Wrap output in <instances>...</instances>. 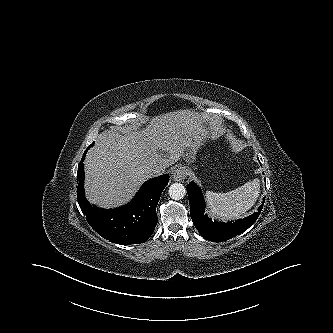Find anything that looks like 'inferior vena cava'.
I'll return each instance as SVG.
<instances>
[{
	"label": "inferior vena cava",
	"instance_id": "602c4592",
	"mask_svg": "<svg viewBox=\"0 0 333 333\" xmlns=\"http://www.w3.org/2000/svg\"><path fill=\"white\" fill-rule=\"evenodd\" d=\"M148 172L150 175L155 176V175H160L164 172L163 168L158 166V165H152L148 168Z\"/></svg>",
	"mask_w": 333,
	"mask_h": 333
}]
</instances>
